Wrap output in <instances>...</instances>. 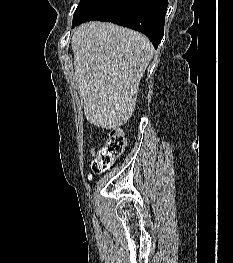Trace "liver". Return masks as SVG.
I'll use <instances>...</instances> for the list:
<instances>
[{
  "instance_id": "1",
  "label": "liver",
  "mask_w": 233,
  "mask_h": 263,
  "mask_svg": "<svg viewBox=\"0 0 233 263\" xmlns=\"http://www.w3.org/2000/svg\"><path fill=\"white\" fill-rule=\"evenodd\" d=\"M71 46L87 121L103 129L126 124L153 57L149 39L113 23L92 21L75 29Z\"/></svg>"
}]
</instances>
